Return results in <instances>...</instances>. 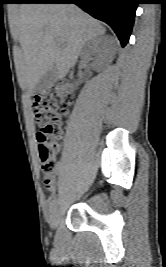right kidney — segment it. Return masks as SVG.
Returning a JSON list of instances; mask_svg holds the SVG:
<instances>
[{
    "label": "right kidney",
    "instance_id": "ca27d5eb",
    "mask_svg": "<svg viewBox=\"0 0 166 267\" xmlns=\"http://www.w3.org/2000/svg\"><path fill=\"white\" fill-rule=\"evenodd\" d=\"M102 43L101 39H94L90 43H88L87 47L85 48L83 52V57L85 59H88L91 54L95 53L97 49L100 47Z\"/></svg>",
    "mask_w": 166,
    "mask_h": 267
}]
</instances>
